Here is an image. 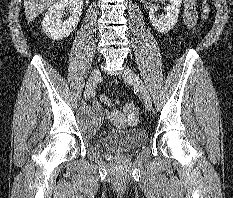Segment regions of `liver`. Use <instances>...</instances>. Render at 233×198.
Segmentation results:
<instances>
[{"label":"liver","mask_w":233,"mask_h":198,"mask_svg":"<svg viewBox=\"0 0 233 198\" xmlns=\"http://www.w3.org/2000/svg\"><path fill=\"white\" fill-rule=\"evenodd\" d=\"M56 1L57 0H24L25 16L28 23L34 21L39 14Z\"/></svg>","instance_id":"liver-1"}]
</instances>
